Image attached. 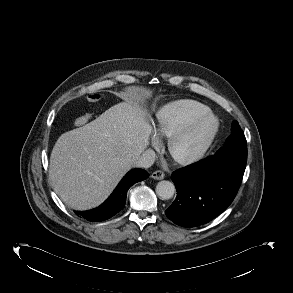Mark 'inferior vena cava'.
<instances>
[{"label": "inferior vena cava", "mask_w": 293, "mask_h": 293, "mask_svg": "<svg viewBox=\"0 0 293 293\" xmlns=\"http://www.w3.org/2000/svg\"><path fill=\"white\" fill-rule=\"evenodd\" d=\"M155 162V152L152 149L145 150L135 161L134 166L139 168H149Z\"/></svg>", "instance_id": "inferior-vena-cava-1"}]
</instances>
